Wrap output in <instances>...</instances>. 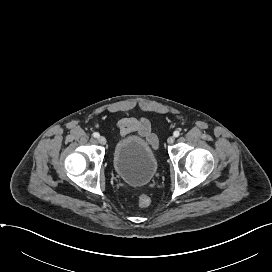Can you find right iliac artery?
I'll return each mask as SVG.
<instances>
[{
	"mask_svg": "<svg viewBox=\"0 0 272 272\" xmlns=\"http://www.w3.org/2000/svg\"><path fill=\"white\" fill-rule=\"evenodd\" d=\"M93 136H94L95 138H99L100 135H99L98 132H94V133H93Z\"/></svg>",
	"mask_w": 272,
	"mask_h": 272,
	"instance_id": "right-iliac-artery-1",
	"label": "right iliac artery"
}]
</instances>
